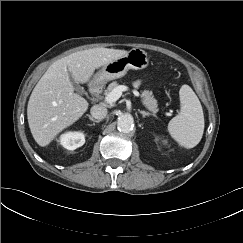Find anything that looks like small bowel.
<instances>
[{
	"mask_svg": "<svg viewBox=\"0 0 243 243\" xmlns=\"http://www.w3.org/2000/svg\"><path fill=\"white\" fill-rule=\"evenodd\" d=\"M135 85H136V86H139V85H140V81H138V80L135 81Z\"/></svg>",
	"mask_w": 243,
	"mask_h": 243,
	"instance_id": "obj_1",
	"label": "small bowel"
}]
</instances>
